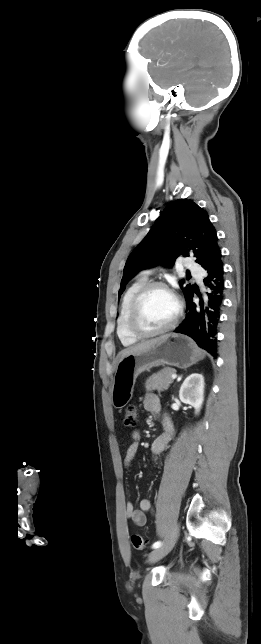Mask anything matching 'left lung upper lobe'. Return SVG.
I'll use <instances>...</instances> for the list:
<instances>
[{
  "label": "left lung upper lobe",
  "instance_id": "obj_1",
  "mask_svg": "<svg viewBox=\"0 0 261 644\" xmlns=\"http://www.w3.org/2000/svg\"><path fill=\"white\" fill-rule=\"evenodd\" d=\"M215 228L205 210L191 200L169 203L155 222V226L127 259L121 280L119 297L127 282L140 270L157 264L172 265L179 256H194L204 267L220 252ZM185 298L193 292L192 285H183Z\"/></svg>",
  "mask_w": 261,
  "mask_h": 644
}]
</instances>
